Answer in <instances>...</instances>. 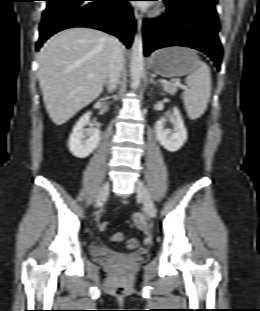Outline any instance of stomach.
<instances>
[{"label":"stomach","instance_id":"1","mask_svg":"<svg viewBox=\"0 0 260 311\" xmlns=\"http://www.w3.org/2000/svg\"><path fill=\"white\" fill-rule=\"evenodd\" d=\"M198 60L194 50L173 46L156 51L149 59V67L166 78L180 77L194 71Z\"/></svg>","mask_w":260,"mask_h":311}]
</instances>
